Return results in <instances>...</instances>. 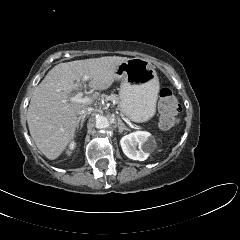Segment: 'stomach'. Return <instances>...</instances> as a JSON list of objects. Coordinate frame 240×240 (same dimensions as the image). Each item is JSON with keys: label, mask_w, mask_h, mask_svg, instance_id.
Here are the masks:
<instances>
[{"label": "stomach", "mask_w": 240, "mask_h": 240, "mask_svg": "<svg viewBox=\"0 0 240 240\" xmlns=\"http://www.w3.org/2000/svg\"><path fill=\"white\" fill-rule=\"evenodd\" d=\"M121 81L119 107L121 112L134 122H146L156 112L159 79L152 64L143 58H132L116 69V78Z\"/></svg>", "instance_id": "1"}]
</instances>
